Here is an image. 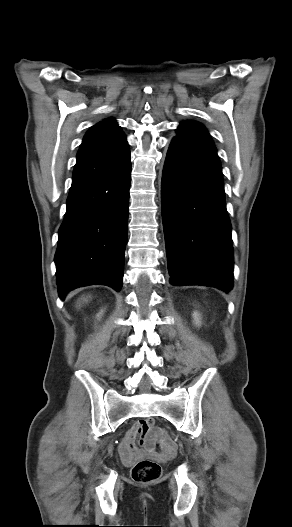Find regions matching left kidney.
Instances as JSON below:
<instances>
[{
    "label": "left kidney",
    "instance_id": "1",
    "mask_svg": "<svg viewBox=\"0 0 292 527\" xmlns=\"http://www.w3.org/2000/svg\"><path fill=\"white\" fill-rule=\"evenodd\" d=\"M193 318H194L195 324H196V325H199V323H200V318H199V314H198L197 312H195V313L193 314Z\"/></svg>",
    "mask_w": 292,
    "mask_h": 527
}]
</instances>
